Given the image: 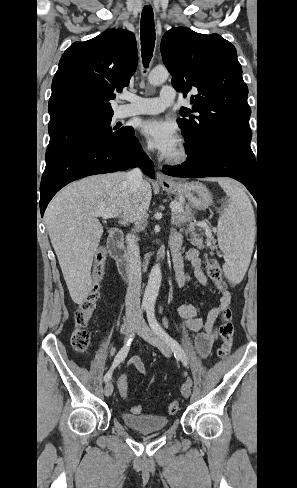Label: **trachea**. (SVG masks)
Segmentation results:
<instances>
[{
	"instance_id": "3493384b",
	"label": "trachea",
	"mask_w": 297,
	"mask_h": 488,
	"mask_svg": "<svg viewBox=\"0 0 297 488\" xmlns=\"http://www.w3.org/2000/svg\"><path fill=\"white\" fill-rule=\"evenodd\" d=\"M155 24H154V14L151 6H145L140 23V36H141V52L143 64L145 67L148 66L152 56L155 45Z\"/></svg>"
}]
</instances>
